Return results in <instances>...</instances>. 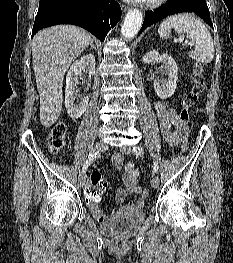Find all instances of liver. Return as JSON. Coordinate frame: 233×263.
Returning a JSON list of instances; mask_svg holds the SVG:
<instances>
[{
    "instance_id": "1",
    "label": "liver",
    "mask_w": 233,
    "mask_h": 263,
    "mask_svg": "<svg viewBox=\"0 0 233 263\" xmlns=\"http://www.w3.org/2000/svg\"><path fill=\"white\" fill-rule=\"evenodd\" d=\"M91 35L74 25L39 31L32 41V60L40 96V122L48 128L60 116L63 79L71 63L90 45Z\"/></svg>"
}]
</instances>
